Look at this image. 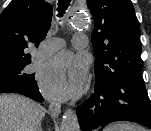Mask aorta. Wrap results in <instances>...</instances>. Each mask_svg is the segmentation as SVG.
Instances as JSON below:
<instances>
[{
    "mask_svg": "<svg viewBox=\"0 0 151 131\" xmlns=\"http://www.w3.org/2000/svg\"><path fill=\"white\" fill-rule=\"evenodd\" d=\"M85 24L86 22L81 15L75 16L71 21V25L78 28L84 27ZM61 131H80L78 118L74 110L68 108L63 113Z\"/></svg>",
    "mask_w": 151,
    "mask_h": 131,
    "instance_id": "obj_1",
    "label": "aorta"
}]
</instances>
